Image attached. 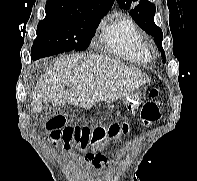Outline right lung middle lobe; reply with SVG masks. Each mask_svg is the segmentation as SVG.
<instances>
[{
	"label": "right lung middle lobe",
	"mask_w": 197,
	"mask_h": 181,
	"mask_svg": "<svg viewBox=\"0 0 197 181\" xmlns=\"http://www.w3.org/2000/svg\"><path fill=\"white\" fill-rule=\"evenodd\" d=\"M104 15L64 17L46 13L37 26V38L31 48L33 60L65 51L85 50Z\"/></svg>",
	"instance_id": "dd1d6c3e"
}]
</instances>
